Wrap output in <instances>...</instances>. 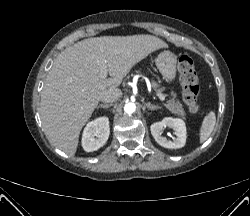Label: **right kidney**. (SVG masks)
I'll use <instances>...</instances> for the list:
<instances>
[{
  "label": "right kidney",
  "mask_w": 250,
  "mask_h": 216,
  "mask_svg": "<svg viewBox=\"0 0 250 216\" xmlns=\"http://www.w3.org/2000/svg\"><path fill=\"white\" fill-rule=\"evenodd\" d=\"M110 134L109 119L99 117L89 122L82 135V147L86 152H93L105 145Z\"/></svg>",
  "instance_id": "1"
}]
</instances>
